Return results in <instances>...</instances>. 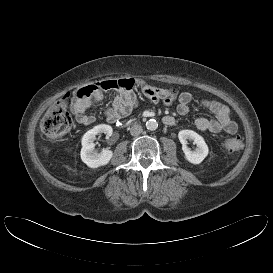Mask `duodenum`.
<instances>
[{"instance_id":"duodenum-1","label":"duodenum","mask_w":273,"mask_h":273,"mask_svg":"<svg viewBox=\"0 0 273 273\" xmlns=\"http://www.w3.org/2000/svg\"><path fill=\"white\" fill-rule=\"evenodd\" d=\"M163 122L165 123V119H163ZM131 124H133V122L130 121V120H127V121H124V122L121 124V126H122V127H126V126H129V125H131Z\"/></svg>"}]
</instances>
